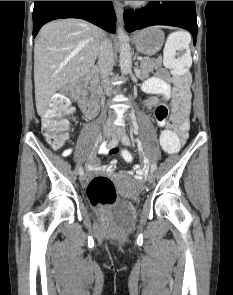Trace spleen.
<instances>
[{
    "label": "spleen",
    "mask_w": 233,
    "mask_h": 295,
    "mask_svg": "<svg viewBox=\"0 0 233 295\" xmlns=\"http://www.w3.org/2000/svg\"><path fill=\"white\" fill-rule=\"evenodd\" d=\"M190 41V36L183 31L171 33L164 48L165 64L177 71H182L185 66H190L192 63ZM181 49L185 50V54L181 58L175 59L176 51Z\"/></svg>",
    "instance_id": "3e777b00"
}]
</instances>
